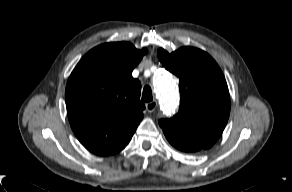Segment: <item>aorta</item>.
I'll use <instances>...</instances> for the list:
<instances>
[{
  "label": "aorta",
  "mask_w": 292,
  "mask_h": 192,
  "mask_svg": "<svg viewBox=\"0 0 292 192\" xmlns=\"http://www.w3.org/2000/svg\"><path fill=\"white\" fill-rule=\"evenodd\" d=\"M154 90L164 110L174 112L178 106L179 96L175 83L167 71L160 70L155 75Z\"/></svg>",
  "instance_id": "762f6f07"
}]
</instances>
